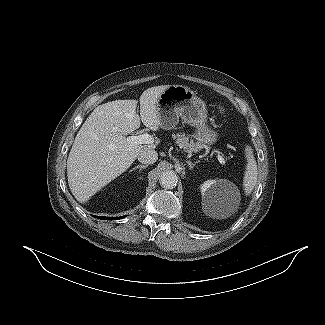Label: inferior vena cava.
<instances>
[{"label":"inferior vena cava","mask_w":325,"mask_h":325,"mask_svg":"<svg viewBox=\"0 0 325 325\" xmlns=\"http://www.w3.org/2000/svg\"><path fill=\"white\" fill-rule=\"evenodd\" d=\"M158 159V153L155 150H143L138 155L139 162L143 164H153Z\"/></svg>","instance_id":"602c4592"}]
</instances>
